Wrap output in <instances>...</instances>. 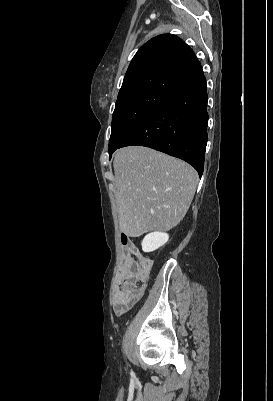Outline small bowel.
<instances>
[{
	"label": "small bowel",
	"instance_id": "obj_1",
	"mask_svg": "<svg viewBox=\"0 0 273 401\" xmlns=\"http://www.w3.org/2000/svg\"><path fill=\"white\" fill-rule=\"evenodd\" d=\"M124 245L126 246V251H130L131 256L136 254L135 247L132 244L124 242ZM117 271H121L120 266ZM140 282H143V289H145L147 280H140ZM142 301L141 290H117L115 293V303L113 302L114 311L117 315H122L135 304L142 303Z\"/></svg>",
	"mask_w": 273,
	"mask_h": 401
}]
</instances>
